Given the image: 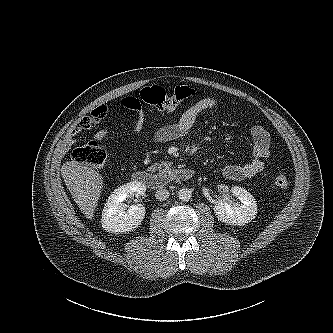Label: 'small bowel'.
I'll return each mask as SVG.
<instances>
[{"label": "small bowel", "instance_id": "small-bowel-1", "mask_svg": "<svg viewBox=\"0 0 333 333\" xmlns=\"http://www.w3.org/2000/svg\"><path fill=\"white\" fill-rule=\"evenodd\" d=\"M218 104L217 98L211 96L198 100L187 108L176 122L158 127L152 135V141L155 143H165L185 136L191 131L200 114L216 109ZM121 105L137 114V119L133 122L132 128L140 130L143 125V112L140 99L127 97L121 101ZM108 111L109 109L106 105L94 108L90 115L84 117L79 124L69 130L64 140L65 146L67 148L73 146L85 130L94 128L104 120L108 115ZM107 134V129L102 128L95 133L94 138L97 141H102L107 137ZM250 136L253 142L252 158L246 163L224 166L222 174L227 179L238 181L250 178L264 169L265 160L271 150L270 135L265 128L255 125L250 130Z\"/></svg>", "mask_w": 333, "mask_h": 333}]
</instances>
